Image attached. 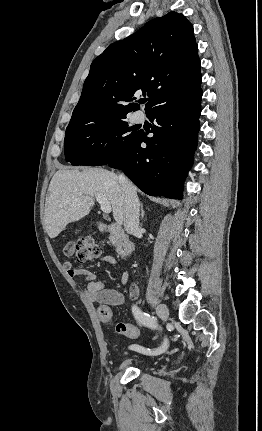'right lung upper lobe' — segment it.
Returning a JSON list of instances; mask_svg holds the SVG:
<instances>
[{"mask_svg":"<svg viewBox=\"0 0 262 431\" xmlns=\"http://www.w3.org/2000/svg\"><path fill=\"white\" fill-rule=\"evenodd\" d=\"M193 27L170 12L135 34L114 42L91 64L69 124L126 116L139 109L135 95L146 93L147 115L191 96L201 84Z\"/></svg>","mask_w":262,"mask_h":431,"instance_id":"1","label":"right lung upper lobe"}]
</instances>
